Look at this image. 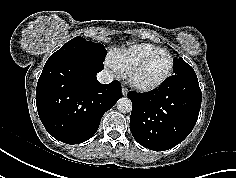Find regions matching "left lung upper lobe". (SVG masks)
<instances>
[{"label":"left lung upper lobe","mask_w":236,"mask_h":178,"mask_svg":"<svg viewBox=\"0 0 236 178\" xmlns=\"http://www.w3.org/2000/svg\"><path fill=\"white\" fill-rule=\"evenodd\" d=\"M175 67H174V73L175 75H182V76H194L195 71L193 68L186 63L181 57L175 59Z\"/></svg>","instance_id":"obj_1"}]
</instances>
